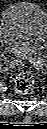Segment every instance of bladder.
Segmentation results:
<instances>
[{
    "mask_svg": "<svg viewBox=\"0 0 47 129\" xmlns=\"http://www.w3.org/2000/svg\"><path fill=\"white\" fill-rule=\"evenodd\" d=\"M47 34L45 9L31 1L11 3L4 10L0 23V39L11 54L31 57L40 52Z\"/></svg>",
    "mask_w": 47,
    "mask_h": 129,
    "instance_id": "obj_1",
    "label": "bladder"
}]
</instances>
